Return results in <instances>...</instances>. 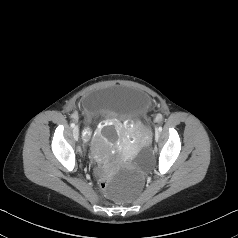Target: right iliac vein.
Listing matches in <instances>:
<instances>
[{
    "label": "right iliac vein",
    "instance_id": "right-iliac-vein-1",
    "mask_svg": "<svg viewBox=\"0 0 238 238\" xmlns=\"http://www.w3.org/2000/svg\"><path fill=\"white\" fill-rule=\"evenodd\" d=\"M73 136H74V140L78 141V137H79V127L78 126H75L73 128Z\"/></svg>",
    "mask_w": 238,
    "mask_h": 238
}]
</instances>
